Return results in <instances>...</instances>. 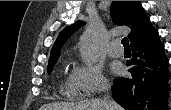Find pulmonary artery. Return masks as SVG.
<instances>
[{
    "instance_id": "obj_1",
    "label": "pulmonary artery",
    "mask_w": 171,
    "mask_h": 110,
    "mask_svg": "<svg viewBox=\"0 0 171 110\" xmlns=\"http://www.w3.org/2000/svg\"><path fill=\"white\" fill-rule=\"evenodd\" d=\"M108 54L112 57H120L123 55V49L121 43L118 40L112 41L108 46Z\"/></svg>"
}]
</instances>
